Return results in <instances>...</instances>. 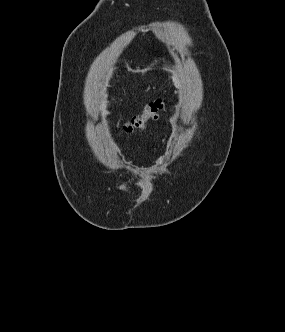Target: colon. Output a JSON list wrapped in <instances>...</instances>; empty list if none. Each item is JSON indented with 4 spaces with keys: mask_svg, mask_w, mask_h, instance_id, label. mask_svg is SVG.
I'll return each instance as SVG.
<instances>
[{
    "mask_svg": "<svg viewBox=\"0 0 285 332\" xmlns=\"http://www.w3.org/2000/svg\"><path fill=\"white\" fill-rule=\"evenodd\" d=\"M162 108L163 102L160 100L148 104L144 108L142 113L132 117L128 122L124 124V132L127 134H131L143 130L149 121L158 118Z\"/></svg>",
    "mask_w": 285,
    "mask_h": 332,
    "instance_id": "5ec220e1",
    "label": "colon"
}]
</instances>
